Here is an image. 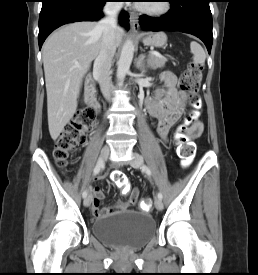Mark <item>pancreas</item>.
Listing matches in <instances>:
<instances>
[{"label":"pancreas","mask_w":258,"mask_h":275,"mask_svg":"<svg viewBox=\"0 0 258 275\" xmlns=\"http://www.w3.org/2000/svg\"><path fill=\"white\" fill-rule=\"evenodd\" d=\"M165 59H162L155 55H149V58L147 60L148 67H151L152 69L157 68H163L165 66Z\"/></svg>","instance_id":"obj_1"}]
</instances>
